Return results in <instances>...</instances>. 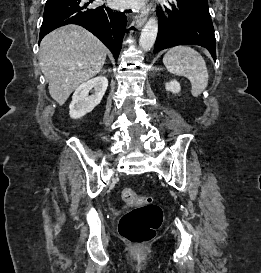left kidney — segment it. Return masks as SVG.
<instances>
[{
	"mask_svg": "<svg viewBox=\"0 0 261 273\" xmlns=\"http://www.w3.org/2000/svg\"><path fill=\"white\" fill-rule=\"evenodd\" d=\"M166 90L176 94L180 92L181 87L176 80H172L169 83H166Z\"/></svg>",
	"mask_w": 261,
	"mask_h": 273,
	"instance_id": "obj_1",
	"label": "left kidney"
}]
</instances>
